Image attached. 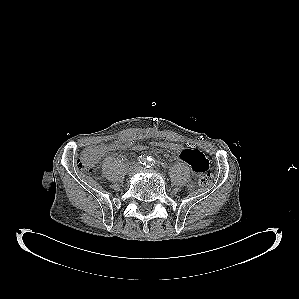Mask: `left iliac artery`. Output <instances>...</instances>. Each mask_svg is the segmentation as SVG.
<instances>
[{
    "instance_id": "44dca946",
    "label": "left iliac artery",
    "mask_w": 299,
    "mask_h": 299,
    "mask_svg": "<svg viewBox=\"0 0 299 299\" xmlns=\"http://www.w3.org/2000/svg\"><path fill=\"white\" fill-rule=\"evenodd\" d=\"M154 163H155V161L152 160V158H149V159H148V162H147V164H146V167H147V168H150V167H152V166L154 165Z\"/></svg>"
}]
</instances>
